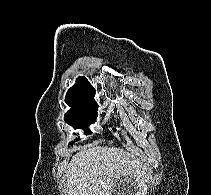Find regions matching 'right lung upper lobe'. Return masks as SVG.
Returning a JSON list of instances; mask_svg holds the SVG:
<instances>
[{
  "instance_id": "right-lung-upper-lobe-1",
  "label": "right lung upper lobe",
  "mask_w": 211,
  "mask_h": 195,
  "mask_svg": "<svg viewBox=\"0 0 211 195\" xmlns=\"http://www.w3.org/2000/svg\"><path fill=\"white\" fill-rule=\"evenodd\" d=\"M95 89L85 77L77 79L76 84L71 87L65 97V102L74 104L96 103L94 100Z\"/></svg>"
}]
</instances>
